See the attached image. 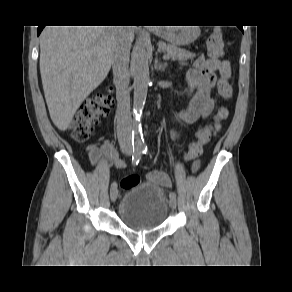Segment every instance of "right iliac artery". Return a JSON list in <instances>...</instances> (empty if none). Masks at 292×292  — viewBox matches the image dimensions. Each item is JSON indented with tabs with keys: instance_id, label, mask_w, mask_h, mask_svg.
<instances>
[{
	"instance_id": "82829eb1",
	"label": "right iliac artery",
	"mask_w": 292,
	"mask_h": 292,
	"mask_svg": "<svg viewBox=\"0 0 292 292\" xmlns=\"http://www.w3.org/2000/svg\"><path fill=\"white\" fill-rule=\"evenodd\" d=\"M141 155H142V149L141 148H135L133 151V155H132V164L133 165H137L141 159ZM113 189H117V184L114 182L111 184V190Z\"/></svg>"
}]
</instances>
